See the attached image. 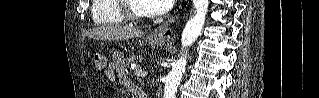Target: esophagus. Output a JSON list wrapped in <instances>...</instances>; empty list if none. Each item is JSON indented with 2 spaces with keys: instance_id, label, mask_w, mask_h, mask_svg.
Returning a JSON list of instances; mask_svg holds the SVG:
<instances>
[{
  "instance_id": "34e87169",
  "label": "esophagus",
  "mask_w": 319,
  "mask_h": 98,
  "mask_svg": "<svg viewBox=\"0 0 319 98\" xmlns=\"http://www.w3.org/2000/svg\"><path fill=\"white\" fill-rule=\"evenodd\" d=\"M178 19V14L169 17L163 24L158 26L152 33L151 37L166 43H172L175 39V33L172 30V24Z\"/></svg>"
}]
</instances>
